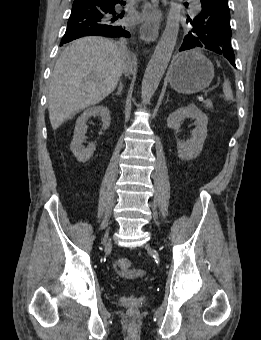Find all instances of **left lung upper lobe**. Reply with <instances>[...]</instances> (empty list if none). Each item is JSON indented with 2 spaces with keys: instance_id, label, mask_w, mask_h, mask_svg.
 Wrapping results in <instances>:
<instances>
[{
  "instance_id": "obj_1",
  "label": "left lung upper lobe",
  "mask_w": 261,
  "mask_h": 340,
  "mask_svg": "<svg viewBox=\"0 0 261 340\" xmlns=\"http://www.w3.org/2000/svg\"><path fill=\"white\" fill-rule=\"evenodd\" d=\"M230 19L212 20L204 25L192 22V29L187 35L195 36L202 42L200 47L207 48L220 55L232 50ZM186 35V36H187Z\"/></svg>"
}]
</instances>
